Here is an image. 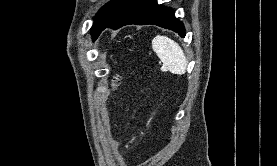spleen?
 <instances>
[{
  "label": "spleen",
  "instance_id": "3e777b00",
  "mask_svg": "<svg viewBox=\"0 0 277 166\" xmlns=\"http://www.w3.org/2000/svg\"><path fill=\"white\" fill-rule=\"evenodd\" d=\"M152 49L166 70L178 75L186 72L187 59L178 43L166 36H156L152 40Z\"/></svg>",
  "mask_w": 277,
  "mask_h": 166
}]
</instances>
